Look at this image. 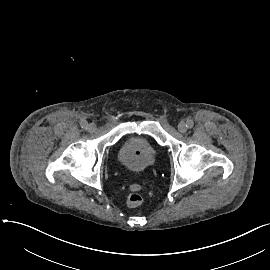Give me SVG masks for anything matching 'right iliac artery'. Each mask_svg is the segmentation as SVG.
<instances>
[{
    "instance_id": "right-iliac-artery-1",
    "label": "right iliac artery",
    "mask_w": 270,
    "mask_h": 270,
    "mask_svg": "<svg viewBox=\"0 0 270 270\" xmlns=\"http://www.w3.org/2000/svg\"><path fill=\"white\" fill-rule=\"evenodd\" d=\"M80 125H81V127L82 128H87V126H88V123H87V121H85V120H82L81 122H80Z\"/></svg>"
}]
</instances>
